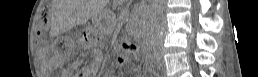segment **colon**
I'll use <instances>...</instances> for the list:
<instances>
[{"label":"colon","mask_w":258,"mask_h":77,"mask_svg":"<svg viewBox=\"0 0 258 77\" xmlns=\"http://www.w3.org/2000/svg\"><path fill=\"white\" fill-rule=\"evenodd\" d=\"M50 25V16L47 10H43L39 16V24H38V34H44ZM89 38L88 34H83L82 39L87 41ZM135 42L133 40H128L123 43L122 49L126 52H132L134 50ZM121 60V59H120ZM122 61V60H121Z\"/></svg>","instance_id":"1"}]
</instances>
